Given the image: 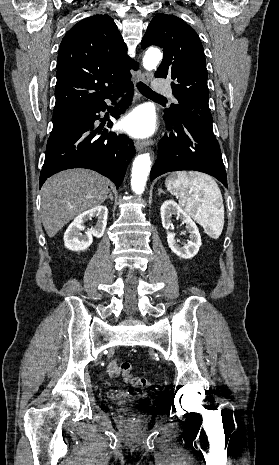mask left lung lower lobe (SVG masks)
I'll list each match as a JSON object with an SVG mask.
<instances>
[{
  "label": "left lung lower lobe",
  "mask_w": 279,
  "mask_h": 465,
  "mask_svg": "<svg viewBox=\"0 0 279 465\" xmlns=\"http://www.w3.org/2000/svg\"><path fill=\"white\" fill-rule=\"evenodd\" d=\"M173 131L158 143V156L150 180L171 171L196 170L217 178L227 187V176L218 141L212 131L194 121L167 122Z\"/></svg>",
  "instance_id": "left-lung-lower-lobe-1"
}]
</instances>
